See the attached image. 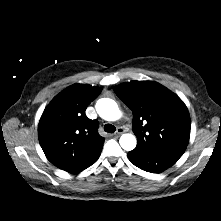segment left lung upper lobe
I'll return each mask as SVG.
<instances>
[{"label":"left lung upper lobe","instance_id":"1","mask_svg":"<svg viewBox=\"0 0 221 221\" xmlns=\"http://www.w3.org/2000/svg\"><path fill=\"white\" fill-rule=\"evenodd\" d=\"M133 113L138 150L183 154L190 138V116L183 101L154 81H131L115 87Z\"/></svg>","mask_w":221,"mask_h":221}]
</instances>
